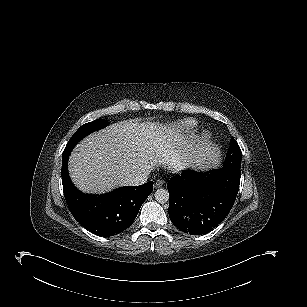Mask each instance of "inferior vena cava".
Listing matches in <instances>:
<instances>
[{"label": "inferior vena cava", "mask_w": 307, "mask_h": 307, "mask_svg": "<svg viewBox=\"0 0 307 307\" xmlns=\"http://www.w3.org/2000/svg\"><path fill=\"white\" fill-rule=\"evenodd\" d=\"M148 177H149V171H144L142 173L132 176L128 181V185L129 186L142 185L147 182Z\"/></svg>", "instance_id": "inferior-vena-cava-1"}]
</instances>
